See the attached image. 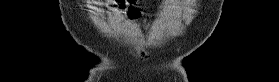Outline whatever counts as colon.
<instances>
[{"mask_svg": "<svg viewBox=\"0 0 279 82\" xmlns=\"http://www.w3.org/2000/svg\"><path fill=\"white\" fill-rule=\"evenodd\" d=\"M128 14L130 15V17L132 18H137L139 17L140 13L139 10L134 8V7H130L128 10Z\"/></svg>", "mask_w": 279, "mask_h": 82, "instance_id": "colon-1", "label": "colon"}]
</instances>
